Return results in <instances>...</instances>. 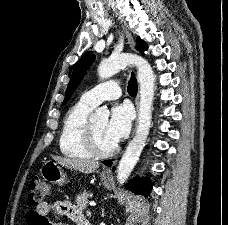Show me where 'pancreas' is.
<instances>
[{
  "label": "pancreas",
  "mask_w": 228,
  "mask_h": 225,
  "mask_svg": "<svg viewBox=\"0 0 228 225\" xmlns=\"http://www.w3.org/2000/svg\"><path fill=\"white\" fill-rule=\"evenodd\" d=\"M89 195H91V193H88V191H83V193H80V195H77L76 197L77 207H80V209H87Z\"/></svg>",
  "instance_id": "pancreas-1"
}]
</instances>
